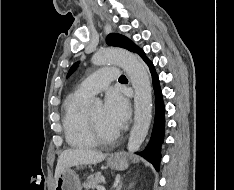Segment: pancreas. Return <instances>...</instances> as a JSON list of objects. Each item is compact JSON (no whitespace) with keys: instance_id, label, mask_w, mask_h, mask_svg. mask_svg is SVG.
<instances>
[{"instance_id":"1","label":"pancreas","mask_w":234,"mask_h":190,"mask_svg":"<svg viewBox=\"0 0 234 190\" xmlns=\"http://www.w3.org/2000/svg\"><path fill=\"white\" fill-rule=\"evenodd\" d=\"M104 182V178L100 174L90 177L89 181L84 183L86 189H95L98 187V184Z\"/></svg>"}]
</instances>
